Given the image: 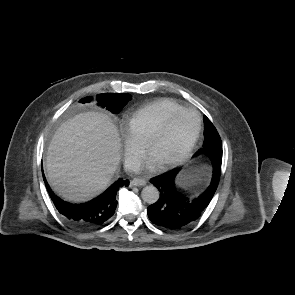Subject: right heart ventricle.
Returning a JSON list of instances; mask_svg holds the SVG:
<instances>
[{
    "mask_svg": "<svg viewBox=\"0 0 295 295\" xmlns=\"http://www.w3.org/2000/svg\"><path fill=\"white\" fill-rule=\"evenodd\" d=\"M181 109L183 107L176 101L170 99L158 100L130 115L127 119L128 130L137 141L146 145L165 120Z\"/></svg>",
    "mask_w": 295,
    "mask_h": 295,
    "instance_id": "right-heart-ventricle-1",
    "label": "right heart ventricle"
}]
</instances>
